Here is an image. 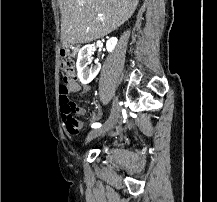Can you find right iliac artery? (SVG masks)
<instances>
[{
  "label": "right iliac artery",
  "mask_w": 217,
  "mask_h": 202,
  "mask_svg": "<svg viewBox=\"0 0 217 202\" xmlns=\"http://www.w3.org/2000/svg\"><path fill=\"white\" fill-rule=\"evenodd\" d=\"M102 125L100 123H93L92 128H100Z\"/></svg>",
  "instance_id": "obj_1"
}]
</instances>
